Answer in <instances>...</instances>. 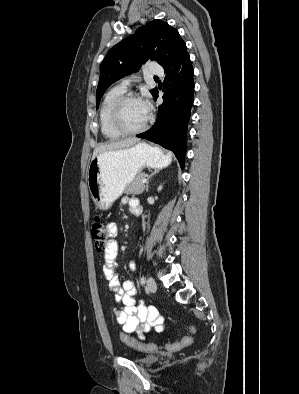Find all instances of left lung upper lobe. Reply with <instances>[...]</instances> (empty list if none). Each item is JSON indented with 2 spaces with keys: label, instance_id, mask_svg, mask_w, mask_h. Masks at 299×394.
Wrapping results in <instances>:
<instances>
[{
  "label": "left lung upper lobe",
  "instance_id": "1",
  "mask_svg": "<svg viewBox=\"0 0 299 394\" xmlns=\"http://www.w3.org/2000/svg\"><path fill=\"white\" fill-rule=\"evenodd\" d=\"M185 45L178 31L161 20L149 22L116 44L100 66L96 108L106 89L115 81L137 72L148 60H156L165 68L176 59ZM156 91L155 88L150 92L154 95Z\"/></svg>",
  "mask_w": 299,
  "mask_h": 394
}]
</instances>
